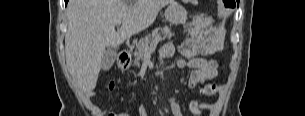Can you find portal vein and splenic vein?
<instances>
[{
  "instance_id": "1",
  "label": "portal vein and splenic vein",
  "mask_w": 305,
  "mask_h": 116,
  "mask_svg": "<svg viewBox=\"0 0 305 116\" xmlns=\"http://www.w3.org/2000/svg\"><path fill=\"white\" fill-rule=\"evenodd\" d=\"M121 21H118L117 22V25H121ZM161 40V38L160 37H157V38H155L152 42H151V44H150V46H146V47H144V52L145 53H152L154 50H155V48H156V46H157V44H158V42Z\"/></svg>"
}]
</instances>
